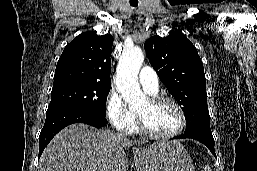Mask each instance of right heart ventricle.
<instances>
[{
    "label": "right heart ventricle",
    "instance_id": "1",
    "mask_svg": "<svg viewBox=\"0 0 257 171\" xmlns=\"http://www.w3.org/2000/svg\"><path fill=\"white\" fill-rule=\"evenodd\" d=\"M137 131V127L136 125L134 124V126L131 128V130L129 131V133H133V132H136Z\"/></svg>",
    "mask_w": 257,
    "mask_h": 171
}]
</instances>
